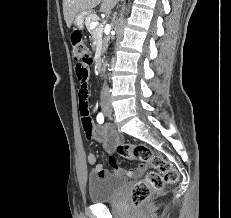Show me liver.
<instances>
[{"label":"liver","mask_w":231,"mask_h":218,"mask_svg":"<svg viewBox=\"0 0 231 218\" xmlns=\"http://www.w3.org/2000/svg\"><path fill=\"white\" fill-rule=\"evenodd\" d=\"M118 0H63L64 20L68 28L71 27L76 15L80 12L90 13L101 2V12L111 10Z\"/></svg>","instance_id":"1"}]
</instances>
